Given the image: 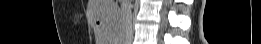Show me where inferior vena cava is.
<instances>
[{
    "instance_id": "obj_1",
    "label": "inferior vena cava",
    "mask_w": 261,
    "mask_h": 44,
    "mask_svg": "<svg viewBox=\"0 0 261 44\" xmlns=\"http://www.w3.org/2000/svg\"><path fill=\"white\" fill-rule=\"evenodd\" d=\"M133 36L132 11L130 5L125 9L124 39L130 40Z\"/></svg>"
}]
</instances>
